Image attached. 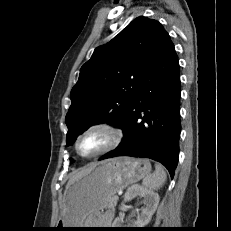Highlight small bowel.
<instances>
[{
    "label": "small bowel",
    "instance_id": "small-bowel-1",
    "mask_svg": "<svg viewBox=\"0 0 231 231\" xmlns=\"http://www.w3.org/2000/svg\"><path fill=\"white\" fill-rule=\"evenodd\" d=\"M111 218H112V213L111 212H105L102 215V220L103 221H109V220H111Z\"/></svg>",
    "mask_w": 231,
    "mask_h": 231
}]
</instances>
